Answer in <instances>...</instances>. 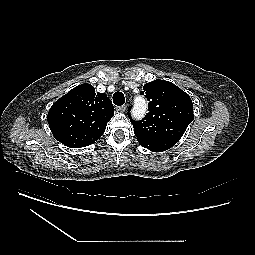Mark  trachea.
<instances>
[{
	"mask_svg": "<svg viewBox=\"0 0 255 255\" xmlns=\"http://www.w3.org/2000/svg\"><path fill=\"white\" fill-rule=\"evenodd\" d=\"M125 102V97L122 92H116L113 95V103L117 106H122Z\"/></svg>",
	"mask_w": 255,
	"mask_h": 255,
	"instance_id": "obj_1",
	"label": "trachea"
}]
</instances>
